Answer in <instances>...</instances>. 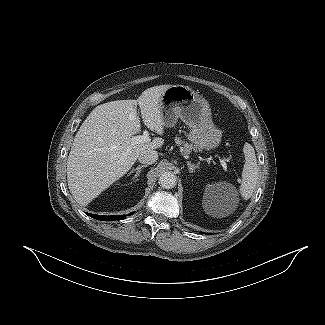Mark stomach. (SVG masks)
<instances>
[{"label": "stomach", "mask_w": 325, "mask_h": 325, "mask_svg": "<svg viewBox=\"0 0 325 325\" xmlns=\"http://www.w3.org/2000/svg\"><path fill=\"white\" fill-rule=\"evenodd\" d=\"M159 107L164 127H173L181 119L190 128L188 139L197 148L215 149L221 143L222 131L212 121L209 103L192 88L171 85L162 94Z\"/></svg>", "instance_id": "stomach-1"}]
</instances>
